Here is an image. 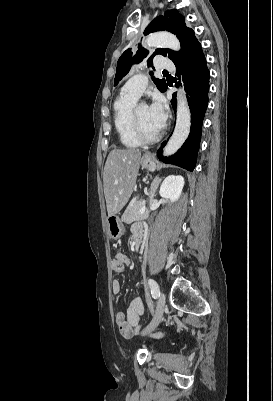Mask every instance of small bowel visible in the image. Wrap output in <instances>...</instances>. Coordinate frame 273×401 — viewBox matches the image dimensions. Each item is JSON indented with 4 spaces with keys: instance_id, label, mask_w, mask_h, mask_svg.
Segmentation results:
<instances>
[{
    "instance_id": "c3829d8e",
    "label": "small bowel",
    "mask_w": 273,
    "mask_h": 401,
    "mask_svg": "<svg viewBox=\"0 0 273 401\" xmlns=\"http://www.w3.org/2000/svg\"><path fill=\"white\" fill-rule=\"evenodd\" d=\"M139 234L143 235V230L140 226H135L132 229L133 239L136 235ZM129 263H130L129 257L126 254L119 252L114 256L112 260L111 263L112 270L115 273H121L124 271L126 265H128ZM112 290L114 293L120 292L121 284L118 279H114L112 281ZM150 311L156 312L157 306L151 305ZM143 315H144L143 302L138 296H135L130 300L128 308L125 313L118 312L116 314L115 324L120 334L125 338L131 337L134 334V332L138 329L140 320ZM164 333H167V330H164ZM150 338H156V335H150ZM159 338H162V335H159ZM152 342H155V339H152Z\"/></svg>"
}]
</instances>
